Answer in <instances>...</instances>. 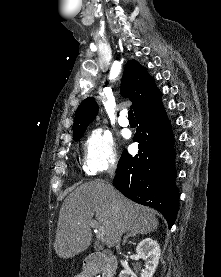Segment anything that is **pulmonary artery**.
I'll return each instance as SVG.
<instances>
[{
    "instance_id": "1",
    "label": "pulmonary artery",
    "mask_w": 221,
    "mask_h": 277,
    "mask_svg": "<svg viewBox=\"0 0 221 277\" xmlns=\"http://www.w3.org/2000/svg\"><path fill=\"white\" fill-rule=\"evenodd\" d=\"M118 123L122 127H128L129 126V120L126 117V111H121L120 116L118 118Z\"/></svg>"
}]
</instances>
